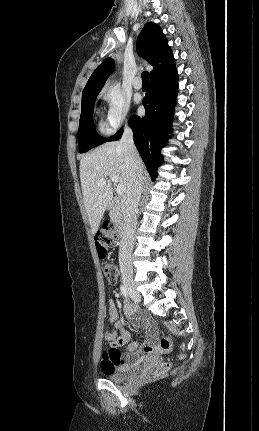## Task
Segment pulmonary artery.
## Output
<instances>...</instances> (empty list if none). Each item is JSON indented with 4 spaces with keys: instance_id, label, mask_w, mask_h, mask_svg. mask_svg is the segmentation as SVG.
Returning <instances> with one entry per match:
<instances>
[{
    "instance_id": "pulmonary-artery-1",
    "label": "pulmonary artery",
    "mask_w": 259,
    "mask_h": 431,
    "mask_svg": "<svg viewBox=\"0 0 259 431\" xmlns=\"http://www.w3.org/2000/svg\"><path fill=\"white\" fill-rule=\"evenodd\" d=\"M133 87L137 90H140L142 88V81L140 77H136L133 81Z\"/></svg>"
}]
</instances>
